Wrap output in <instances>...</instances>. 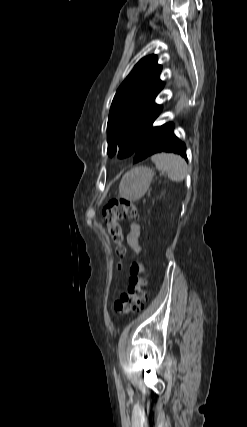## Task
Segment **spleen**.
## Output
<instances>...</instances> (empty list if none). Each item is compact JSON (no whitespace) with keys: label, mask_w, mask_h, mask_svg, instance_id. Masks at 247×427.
Instances as JSON below:
<instances>
[{"label":"spleen","mask_w":247,"mask_h":427,"mask_svg":"<svg viewBox=\"0 0 247 427\" xmlns=\"http://www.w3.org/2000/svg\"><path fill=\"white\" fill-rule=\"evenodd\" d=\"M152 161L158 170L167 173L170 180L181 182L188 173V167L185 160L176 154L160 153L152 157Z\"/></svg>","instance_id":"1"}]
</instances>
